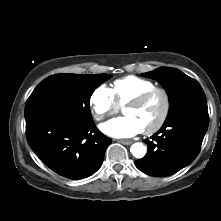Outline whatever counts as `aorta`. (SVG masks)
Returning <instances> with one entry per match:
<instances>
[{
    "mask_svg": "<svg viewBox=\"0 0 221 221\" xmlns=\"http://www.w3.org/2000/svg\"><path fill=\"white\" fill-rule=\"evenodd\" d=\"M146 151V147L140 142L132 144L130 148L132 155L138 159L143 158L146 154Z\"/></svg>",
    "mask_w": 221,
    "mask_h": 221,
    "instance_id": "aorta-1",
    "label": "aorta"
}]
</instances>
